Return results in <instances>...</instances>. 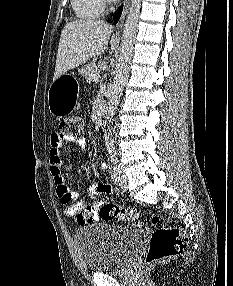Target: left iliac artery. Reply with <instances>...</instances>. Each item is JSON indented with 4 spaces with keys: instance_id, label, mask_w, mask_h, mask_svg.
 Wrapping results in <instances>:
<instances>
[{
    "instance_id": "left-iliac-artery-1",
    "label": "left iliac artery",
    "mask_w": 233,
    "mask_h": 286,
    "mask_svg": "<svg viewBox=\"0 0 233 286\" xmlns=\"http://www.w3.org/2000/svg\"><path fill=\"white\" fill-rule=\"evenodd\" d=\"M109 153H110L111 162L113 163L114 166H117V163H118L117 151L113 145L109 148Z\"/></svg>"
}]
</instances>
